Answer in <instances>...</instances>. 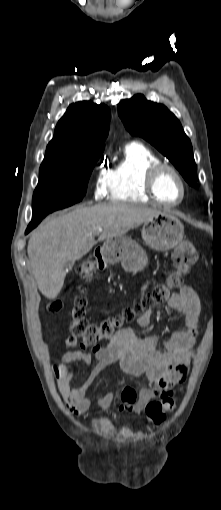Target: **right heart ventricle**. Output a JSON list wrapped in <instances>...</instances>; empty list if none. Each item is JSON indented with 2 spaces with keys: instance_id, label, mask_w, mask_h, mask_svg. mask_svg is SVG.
Instances as JSON below:
<instances>
[{
  "instance_id": "right-heart-ventricle-1",
  "label": "right heart ventricle",
  "mask_w": 221,
  "mask_h": 510,
  "mask_svg": "<svg viewBox=\"0 0 221 510\" xmlns=\"http://www.w3.org/2000/svg\"><path fill=\"white\" fill-rule=\"evenodd\" d=\"M161 162L160 158L140 142L128 143L122 158L109 172L108 195L113 202L150 203L144 190V176L147 168Z\"/></svg>"
}]
</instances>
